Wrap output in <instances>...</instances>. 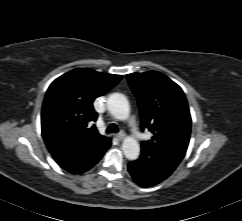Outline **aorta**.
Instances as JSON below:
<instances>
[{
  "label": "aorta",
  "mask_w": 242,
  "mask_h": 221,
  "mask_svg": "<svg viewBox=\"0 0 242 221\" xmlns=\"http://www.w3.org/2000/svg\"><path fill=\"white\" fill-rule=\"evenodd\" d=\"M107 106L110 113L117 119L125 120L129 117V102L123 94H111L108 97ZM122 150L125 157L129 160H136L140 155V145L138 141L131 136H128L123 140Z\"/></svg>",
  "instance_id": "1"
}]
</instances>
